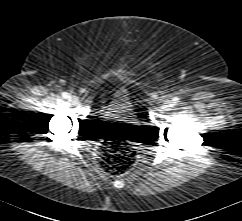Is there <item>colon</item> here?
Listing matches in <instances>:
<instances>
[{"label":"colon","instance_id":"colon-1","mask_svg":"<svg viewBox=\"0 0 242 221\" xmlns=\"http://www.w3.org/2000/svg\"><path fill=\"white\" fill-rule=\"evenodd\" d=\"M98 162L102 169L111 175H122L134 167L137 152L125 141L109 140L101 144Z\"/></svg>","mask_w":242,"mask_h":221}]
</instances>
